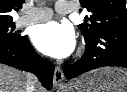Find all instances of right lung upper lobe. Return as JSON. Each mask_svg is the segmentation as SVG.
I'll return each mask as SVG.
<instances>
[{
    "mask_svg": "<svg viewBox=\"0 0 127 92\" xmlns=\"http://www.w3.org/2000/svg\"><path fill=\"white\" fill-rule=\"evenodd\" d=\"M24 0H0V24L14 23L9 12L22 7Z\"/></svg>",
    "mask_w": 127,
    "mask_h": 92,
    "instance_id": "obj_1",
    "label": "right lung upper lobe"
}]
</instances>
